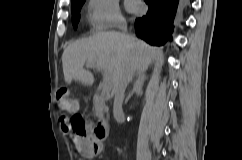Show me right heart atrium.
<instances>
[{
  "label": "right heart atrium",
  "instance_id": "1",
  "mask_svg": "<svg viewBox=\"0 0 242 160\" xmlns=\"http://www.w3.org/2000/svg\"><path fill=\"white\" fill-rule=\"evenodd\" d=\"M89 20L96 30H108L124 24L118 0H88Z\"/></svg>",
  "mask_w": 242,
  "mask_h": 160
}]
</instances>
